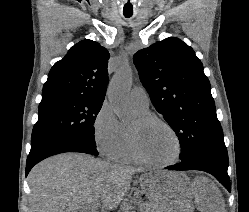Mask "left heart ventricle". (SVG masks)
Segmentation results:
<instances>
[{"label": "left heart ventricle", "mask_w": 249, "mask_h": 212, "mask_svg": "<svg viewBox=\"0 0 249 212\" xmlns=\"http://www.w3.org/2000/svg\"><path fill=\"white\" fill-rule=\"evenodd\" d=\"M143 155L154 162H169L178 154L175 137L162 125L139 126L137 121L131 126Z\"/></svg>", "instance_id": "left-heart-ventricle-1"}]
</instances>
